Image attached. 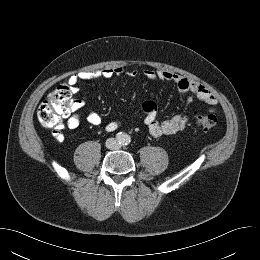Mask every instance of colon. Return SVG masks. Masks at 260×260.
Returning a JSON list of instances; mask_svg holds the SVG:
<instances>
[{
    "label": "colon",
    "mask_w": 260,
    "mask_h": 260,
    "mask_svg": "<svg viewBox=\"0 0 260 260\" xmlns=\"http://www.w3.org/2000/svg\"><path fill=\"white\" fill-rule=\"evenodd\" d=\"M72 101L73 94L70 87L66 84L58 85L38 107L37 118L40 124L45 128L59 127ZM216 123L217 117L213 113L195 115V124L202 130L209 131Z\"/></svg>",
    "instance_id": "obj_1"
}]
</instances>
